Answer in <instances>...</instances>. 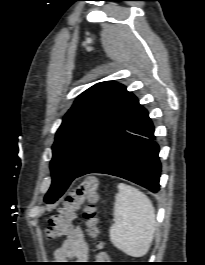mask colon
<instances>
[{
	"mask_svg": "<svg viewBox=\"0 0 205 265\" xmlns=\"http://www.w3.org/2000/svg\"><path fill=\"white\" fill-rule=\"evenodd\" d=\"M98 198V180L96 177H86L77 189L71 193L57 212L50 217L46 228V236L49 239L68 234L72 228L76 211L84 204L83 215L89 234L92 237L97 235V220L94 204ZM106 254L99 252L96 256V263H104Z\"/></svg>",
	"mask_w": 205,
	"mask_h": 265,
	"instance_id": "colon-1",
	"label": "colon"
}]
</instances>
